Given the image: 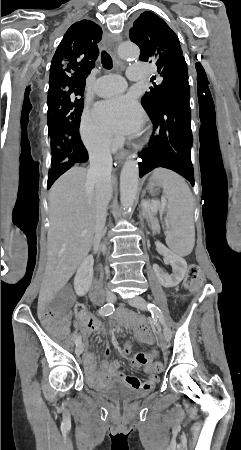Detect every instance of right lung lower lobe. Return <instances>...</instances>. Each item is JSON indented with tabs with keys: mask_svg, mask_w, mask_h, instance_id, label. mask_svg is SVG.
<instances>
[{
	"mask_svg": "<svg viewBox=\"0 0 241 450\" xmlns=\"http://www.w3.org/2000/svg\"><path fill=\"white\" fill-rule=\"evenodd\" d=\"M62 132L70 144L72 155L68 161L55 164L49 170V177L47 182L48 188L51 187V185L60 175L70 169L73 165L77 163H85L88 160L87 150L85 149L80 139L79 126L64 129Z\"/></svg>",
	"mask_w": 241,
	"mask_h": 450,
	"instance_id": "98d812e1",
	"label": "right lung lower lobe"
}]
</instances>
